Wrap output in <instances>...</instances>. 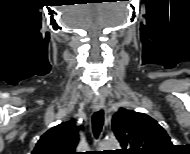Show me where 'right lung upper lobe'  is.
I'll use <instances>...</instances> for the list:
<instances>
[{
	"instance_id": "obj_1",
	"label": "right lung upper lobe",
	"mask_w": 190,
	"mask_h": 154,
	"mask_svg": "<svg viewBox=\"0 0 190 154\" xmlns=\"http://www.w3.org/2000/svg\"><path fill=\"white\" fill-rule=\"evenodd\" d=\"M79 127L74 119L52 127L37 142L32 154H75Z\"/></svg>"
}]
</instances>
